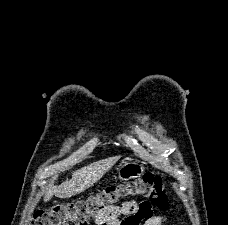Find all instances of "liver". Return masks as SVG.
<instances>
[{
	"instance_id": "liver-1",
	"label": "liver",
	"mask_w": 228,
	"mask_h": 225,
	"mask_svg": "<svg viewBox=\"0 0 228 225\" xmlns=\"http://www.w3.org/2000/svg\"><path fill=\"white\" fill-rule=\"evenodd\" d=\"M119 159H121V157H109V159H102V161H97V163H91V165H87V167H82L79 171H74L70 181H65V183H62L59 187L49 185L45 191L44 201L47 203V201L52 199L53 195L59 197V199H68V197L83 193V191L92 187L94 183H97L99 179H102L103 175L108 173Z\"/></svg>"
}]
</instances>
